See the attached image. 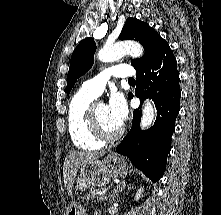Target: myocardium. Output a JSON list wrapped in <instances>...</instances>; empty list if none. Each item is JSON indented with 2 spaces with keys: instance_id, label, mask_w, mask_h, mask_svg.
Returning a JSON list of instances; mask_svg holds the SVG:
<instances>
[{
  "instance_id": "1",
  "label": "myocardium",
  "mask_w": 221,
  "mask_h": 215,
  "mask_svg": "<svg viewBox=\"0 0 221 215\" xmlns=\"http://www.w3.org/2000/svg\"><path fill=\"white\" fill-rule=\"evenodd\" d=\"M100 103L102 102L94 101L90 104L88 108V121L91 131L95 137L103 142L115 141L121 137V135L123 134V129L119 128L115 132H108L103 128L97 116V106Z\"/></svg>"
}]
</instances>
